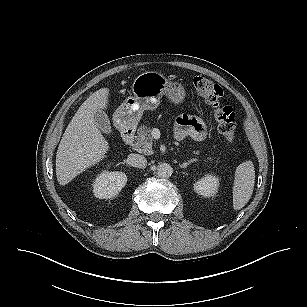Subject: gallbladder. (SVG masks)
Returning <instances> with one entry per match:
<instances>
[{
	"label": "gallbladder",
	"mask_w": 307,
	"mask_h": 307,
	"mask_svg": "<svg viewBox=\"0 0 307 307\" xmlns=\"http://www.w3.org/2000/svg\"><path fill=\"white\" fill-rule=\"evenodd\" d=\"M94 121L103 133L110 134L112 132L110 120L104 111H95Z\"/></svg>",
	"instance_id": "gallbladder-1"
}]
</instances>
